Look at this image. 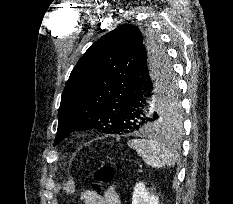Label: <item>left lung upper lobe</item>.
Returning <instances> with one entry per match:
<instances>
[{
    "label": "left lung upper lobe",
    "mask_w": 233,
    "mask_h": 204,
    "mask_svg": "<svg viewBox=\"0 0 233 204\" xmlns=\"http://www.w3.org/2000/svg\"><path fill=\"white\" fill-rule=\"evenodd\" d=\"M140 52H166L148 30L122 24L93 43L72 70L61 97L55 145L73 131L98 129L124 134L115 123L120 100ZM170 71L173 74L171 65ZM157 127L178 131L182 124L176 81L159 96L155 107Z\"/></svg>",
    "instance_id": "1"
}]
</instances>
